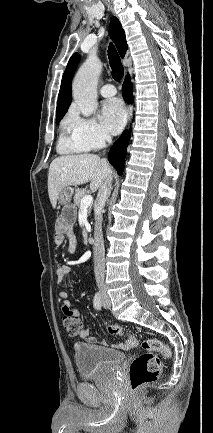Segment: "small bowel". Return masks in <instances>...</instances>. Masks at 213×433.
Returning <instances> with one entry per match:
<instances>
[{"label":"small bowel","instance_id":"1","mask_svg":"<svg viewBox=\"0 0 213 433\" xmlns=\"http://www.w3.org/2000/svg\"><path fill=\"white\" fill-rule=\"evenodd\" d=\"M74 223V215L71 212L64 213L56 222L55 225V235H54V245L57 247L62 246L64 240H67L68 247L67 250L70 254H74L77 249V237L73 228ZM72 271V263L69 261L63 262L60 264L56 270V280L58 284L65 285L67 282L68 276ZM59 297L62 299V311L63 313L68 312H76L77 310L72 308L69 295L66 291H60ZM78 336L84 340L89 342H95L96 339L90 335L89 328H83L78 333ZM136 343L125 341L116 345L117 348L121 349H129L134 346Z\"/></svg>","mask_w":213,"mask_h":433}]
</instances>
